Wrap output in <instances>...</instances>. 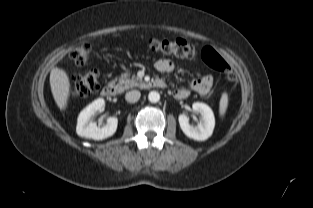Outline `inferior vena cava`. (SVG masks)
<instances>
[{
    "mask_svg": "<svg viewBox=\"0 0 313 208\" xmlns=\"http://www.w3.org/2000/svg\"><path fill=\"white\" fill-rule=\"evenodd\" d=\"M141 93L138 90H132L126 93L125 99L127 102L135 103L140 99Z\"/></svg>",
    "mask_w": 313,
    "mask_h": 208,
    "instance_id": "obj_1",
    "label": "inferior vena cava"
}]
</instances>
